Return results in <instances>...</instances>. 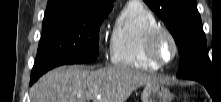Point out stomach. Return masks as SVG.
I'll return each mask as SVG.
<instances>
[{
  "label": "stomach",
  "mask_w": 221,
  "mask_h": 102,
  "mask_svg": "<svg viewBox=\"0 0 221 102\" xmlns=\"http://www.w3.org/2000/svg\"><path fill=\"white\" fill-rule=\"evenodd\" d=\"M172 98L170 90L161 83L145 85L141 95L142 102H171Z\"/></svg>",
  "instance_id": "stomach-1"
}]
</instances>
